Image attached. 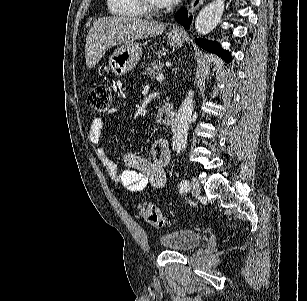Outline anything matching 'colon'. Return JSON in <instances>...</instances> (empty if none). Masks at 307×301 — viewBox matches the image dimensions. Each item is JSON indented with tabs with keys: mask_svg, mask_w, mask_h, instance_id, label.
<instances>
[{
	"mask_svg": "<svg viewBox=\"0 0 307 301\" xmlns=\"http://www.w3.org/2000/svg\"><path fill=\"white\" fill-rule=\"evenodd\" d=\"M110 89L106 84H98L93 87L87 97L88 105L97 112H105L110 106ZM141 217L151 226L163 228L168 225V219L159 208L150 202H141L138 205Z\"/></svg>",
	"mask_w": 307,
	"mask_h": 301,
	"instance_id": "colon-1",
	"label": "colon"
}]
</instances>
